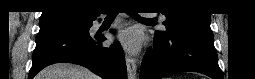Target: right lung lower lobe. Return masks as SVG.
Returning a JSON list of instances; mask_svg holds the SVG:
<instances>
[{
	"label": "right lung lower lobe",
	"instance_id": "98d812e1",
	"mask_svg": "<svg viewBox=\"0 0 255 79\" xmlns=\"http://www.w3.org/2000/svg\"><path fill=\"white\" fill-rule=\"evenodd\" d=\"M96 18L84 22L76 30L54 29L38 33L32 55V79L44 67L58 62L82 65L104 79H125L126 63L122 48L116 43L101 47L103 36H90L89 29Z\"/></svg>",
	"mask_w": 255,
	"mask_h": 79
}]
</instances>
